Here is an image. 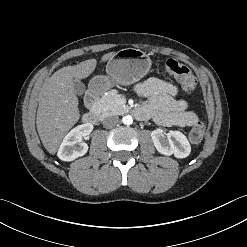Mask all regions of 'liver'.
Returning a JSON list of instances; mask_svg holds the SVG:
<instances>
[{
  "mask_svg": "<svg viewBox=\"0 0 247 247\" xmlns=\"http://www.w3.org/2000/svg\"><path fill=\"white\" fill-rule=\"evenodd\" d=\"M115 54H104L101 61L105 62ZM96 65V59H89L74 66H66L44 82L39 94L36 126L43 146L50 154L57 152L66 133L80 118L74 79L87 78Z\"/></svg>",
  "mask_w": 247,
  "mask_h": 247,
  "instance_id": "liver-1",
  "label": "liver"
}]
</instances>
